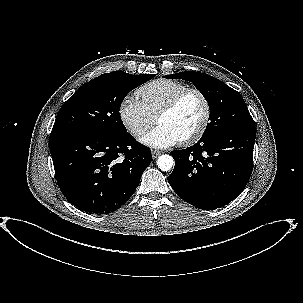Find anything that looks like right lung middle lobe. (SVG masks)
I'll return each instance as SVG.
<instances>
[{
	"mask_svg": "<svg viewBox=\"0 0 303 303\" xmlns=\"http://www.w3.org/2000/svg\"><path fill=\"white\" fill-rule=\"evenodd\" d=\"M154 76L114 71L83 84L62 105L51 135L81 132L118 136L127 133L119 113L121 103L131 90Z\"/></svg>",
	"mask_w": 303,
	"mask_h": 303,
	"instance_id": "right-lung-middle-lobe-1",
	"label": "right lung middle lobe"
}]
</instances>
